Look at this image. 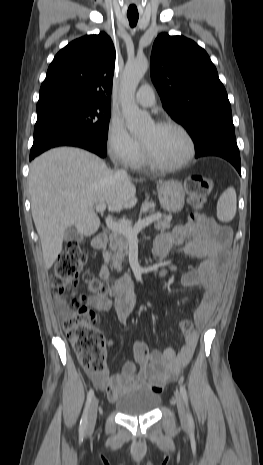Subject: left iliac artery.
<instances>
[{
	"label": "left iliac artery",
	"mask_w": 263,
	"mask_h": 465,
	"mask_svg": "<svg viewBox=\"0 0 263 465\" xmlns=\"http://www.w3.org/2000/svg\"><path fill=\"white\" fill-rule=\"evenodd\" d=\"M180 393H181V395L183 397V400H184V402L186 404V407L188 408V395H187V391H186L184 386H180ZM188 422H189L190 425H193V423H194L192 415L189 412V408H188Z\"/></svg>",
	"instance_id": "1"
}]
</instances>
